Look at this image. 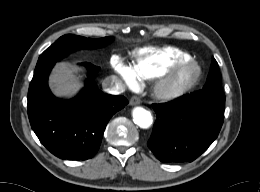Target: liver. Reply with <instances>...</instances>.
Segmentation results:
<instances>
[{"instance_id": "1", "label": "liver", "mask_w": 260, "mask_h": 192, "mask_svg": "<svg viewBox=\"0 0 260 192\" xmlns=\"http://www.w3.org/2000/svg\"><path fill=\"white\" fill-rule=\"evenodd\" d=\"M49 83L53 93L64 98L75 96L83 86L75 74V69L66 63H59L54 68Z\"/></svg>"}]
</instances>
